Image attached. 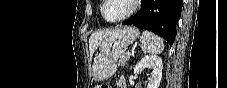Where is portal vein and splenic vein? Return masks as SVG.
Instances as JSON below:
<instances>
[{"mask_svg":"<svg viewBox=\"0 0 227 88\" xmlns=\"http://www.w3.org/2000/svg\"><path fill=\"white\" fill-rule=\"evenodd\" d=\"M127 55H128V56H131V53H130V52H128V53H127Z\"/></svg>","mask_w":227,"mask_h":88,"instance_id":"18ae733b","label":"portal vein and splenic vein"}]
</instances>
